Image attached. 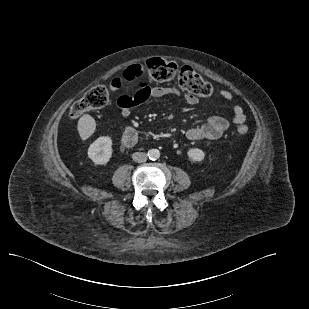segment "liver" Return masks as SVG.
Listing matches in <instances>:
<instances>
[{
  "label": "liver",
  "instance_id": "liver-1",
  "mask_svg": "<svg viewBox=\"0 0 309 309\" xmlns=\"http://www.w3.org/2000/svg\"><path fill=\"white\" fill-rule=\"evenodd\" d=\"M96 129V122L90 115H83L79 121L77 130L82 140L88 139Z\"/></svg>",
  "mask_w": 309,
  "mask_h": 309
}]
</instances>
